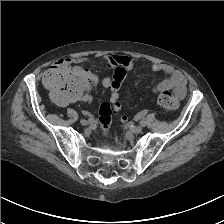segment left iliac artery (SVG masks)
I'll return each instance as SVG.
<instances>
[{"label":"left iliac artery","mask_w":224,"mask_h":224,"mask_svg":"<svg viewBox=\"0 0 224 224\" xmlns=\"http://www.w3.org/2000/svg\"><path fill=\"white\" fill-rule=\"evenodd\" d=\"M140 125L144 127V126H146V122L144 120H142V121H140Z\"/></svg>","instance_id":"left-iliac-artery-1"}]
</instances>
